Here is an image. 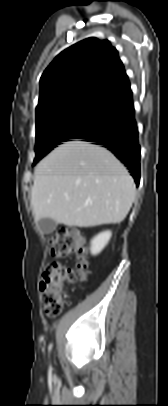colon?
<instances>
[{
  "mask_svg": "<svg viewBox=\"0 0 168 406\" xmlns=\"http://www.w3.org/2000/svg\"><path fill=\"white\" fill-rule=\"evenodd\" d=\"M51 254L56 258L77 255L74 268L56 261L48 262L40 279L39 289L44 313L49 317L60 314L66 283L84 281L89 274L84 239L76 229L61 228L50 238Z\"/></svg>",
  "mask_w": 168,
  "mask_h": 406,
  "instance_id": "obj_1",
  "label": "colon"
}]
</instances>
